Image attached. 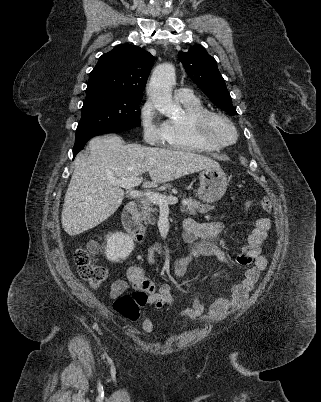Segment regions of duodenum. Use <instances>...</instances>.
Returning a JSON list of instances; mask_svg holds the SVG:
<instances>
[{"mask_svg":"<svg viewBox=\"0 0 321 402\" xmlns=\"http://www.w3.org/2000/svg\"><path fill=\"white\" fill-rule=\"evenodd\" d=\"M138 207L135 201L129 202L123 213L122 223L129 234L139 243L146 239V229L137 217Z\"/></svg>","mask_w":321,"mask_h":402,"instance_id":"obj_1","label":"duodenum"}]
</instances>
